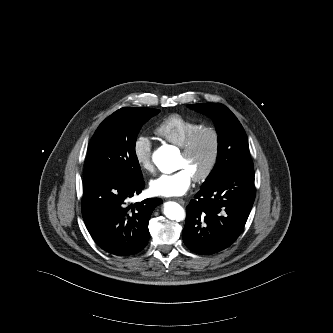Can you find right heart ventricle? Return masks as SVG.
I'll use <instances>...</instances> for the list:
<instances>
[{
  "label": "right heart ventricle",
  "mask_w": 333,
  "mask_h": 333,
  "mask_svg": "<svg viewBox=\"0 0 333 333\" xmlns=\"http://www.w3.org/2000/svg\"><path fill=\"white\" fill-rule=\"evenodd\" d=\"M201 126L195 120L172 114L158 124L155 134L170 143L183 146L190 134Z\"/></svg>",
  "instance_id": "1"
}]
</instances>
